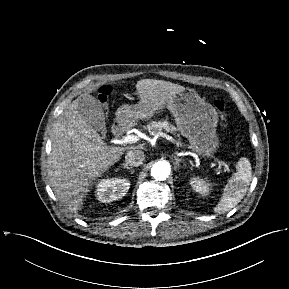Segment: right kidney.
Masks as SVG:
<instances>
[{"label":"right kidney","instance_id":"right-kidney-1","mask_svg":"<svg viewBox=\"0 0 289 289\" xmlns=\"http://www.w3.org/2000/svg\"><path fill=\"white\" fill-rule=\"evenodd\" d=\"M130 183L125 178L102 179L97 185V199L102 203H110L125 196Z\"/></svg>","mask_w":289,"mask_h":289}]
</instances>
